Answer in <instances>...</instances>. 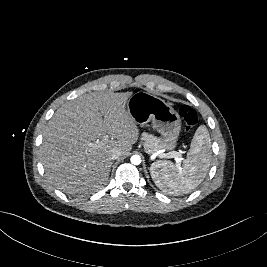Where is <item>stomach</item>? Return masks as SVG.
I'll return each instance as SVG.
<instances>
[{"label": "stomach", "instance_id": "stomach-1", "mask_svg": "<svg viewBox=\"0 0 267 267\" xmlns=\"http://www.w3.org/2000/svg\"><path fill=\"white\" fill-rule=\"evenodd\" d=\"M127 111L136 124L152 126L162 136V148L167 151L176 147L181 130L178 113L165 101L147 92H137L127 101Z\"/></svg>", "mask_w": 267, "mask_h": 267}]
</instances>
